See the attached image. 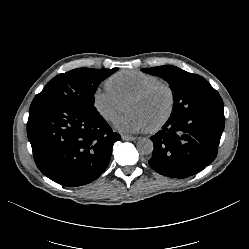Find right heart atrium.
Wrapping results in <instances>:
<instances>
[{"label": "right heart atrium", "instance_id": "1", "mask_svg": "<svg viewBox=\"0 0 249 249\" xmlns=\"http://www.w3.org/2000/svg\"><path fill=\"white\" fill-rule=\"evenodd\" d=\"M92 104L97 114L106 122L113 121L123 109V101L107 87L94 90Z\"/></svg>", "mask_w": 249, "mask_h": 249}]
</instances>
